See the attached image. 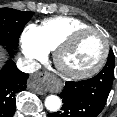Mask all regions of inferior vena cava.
Wrapping results in <instances>:
<instances>
[{"instance_id":"602c4592","label":"inferior vena cava","mask_w":117,"mask_h":117,"mask_svg":"<svg viewBox=\"0 0 117 117\" xmlns=\"http://www.w3.org/2000/svg\"><path fill=\"white\" fill-rule=\"evenodd\" d=\"M17 67L22 72L33 73L37 71L41 67V65L31 58H19L17 60Z\"/></svg>"}]
</instances>
